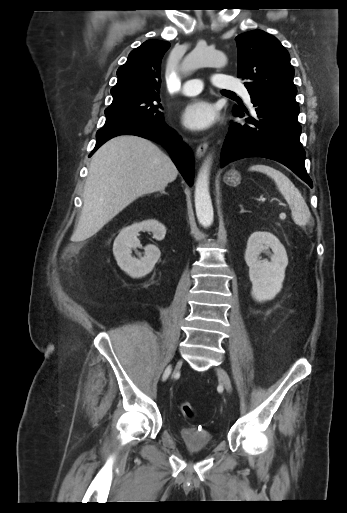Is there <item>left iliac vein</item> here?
Segmentation results:
<instances>
[{"mask_svg": "<svg viewBox=\"0 0 347 513\" xmlns=\"http://www.w3.org/2000/svg\"><path fill=\"white\" fill-rule=\"evenodd\" d=\"M216 373L228 393H232V383L228 373L221 367L216 368Z\"/></svg>", "mask_w": 347, "mask_h": 513, "instance_id": "obj_1", "label": "left iliac vein"}]
</instances>
